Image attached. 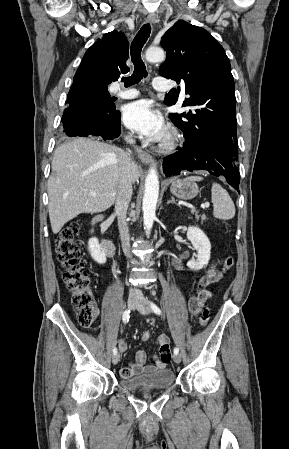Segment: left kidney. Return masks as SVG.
I'll return each instance as SVG.
<instances>
[{"label": "left kidney", "instance_id": "obj_1", "mask_svg": "<svg viewBox=\"0 0 289 449\" xmlns=\"http://www.w3.org/2000/svg\"><path fill=\"white\" fill-rule=\"evenodd\" d=\"M187 238L197 250L196 259L192 258L187 263V266L194 271L201 270L210 260V241L205 233L200 228L195 226L188 227Z\"/></svg>", "mask_w": 289, "mask_h": 449}]
</instances>
